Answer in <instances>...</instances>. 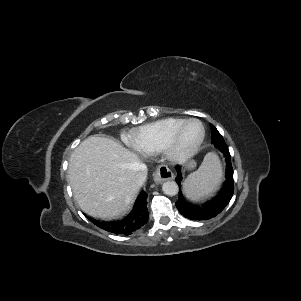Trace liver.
I'll use <instances>...</instances> for the list:
<instances>
[{"instance_id":"6515ba94","label":"liver","mask_w":301,"mask_h":301,"mask_svg":"<svg viewBox=\"0 0 301 301\" xmlns=\"http://www.w3.org/2000/svg\"><path fill=\"white\" fill-rule=\"evenodd\" d=\"M140 164L137 154L114 140L89 136L69 159L74 198L93 217L111 219L127 213L140 187L133 182Z\"/></svg>"}]
</instances>
